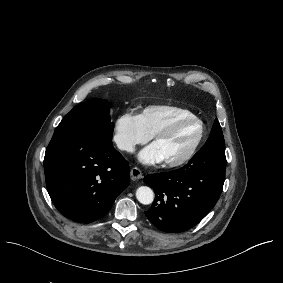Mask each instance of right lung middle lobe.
Listing matches in <instances>:
<instances>
[{
	"instance_id": "1",
	"label": "right lung middle lobe",
	"mask_w": 283,
	"mask_h": 283,
	"mask_svg": "<svg viewBox=\"0 0 283 283\" xmlns=\"http://www.w3.org/2000/svg\"><path fill=\"white\" fill-rule=\"evenodd\" d=\"M113 129L108 103L103 99H91L75 106L57 126L54 135L75 133L111 140Z\"/></svg>"
}]
</instances>
